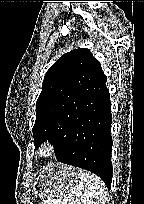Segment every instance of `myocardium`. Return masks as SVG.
I'll list each match as a JSON object with an SVG mask.
<instances>
[{"instance_id":"1","label":"myocardium","mask_w":144,"mask_h":204,"mask_svg":"<svg viewBox=\"0 0 144 204\" xmlns=\"http://www.w3.org/2000/svg\"><path fill=\"white\" fill-rule=\"evenodd\" d=\"M37 153L42 159H51L56 155L57 147L52 141L45 140L39 145Z\"/></svg>"}]
</instances>
